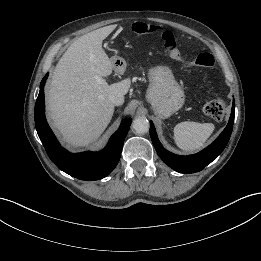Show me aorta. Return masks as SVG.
<instances>
[{
  "label": "aorta",
  "mask_w": 261,
  "mask_h": 261,
  "mask_svg": "<svg viewBox=\"0 0 261 261\" xmlns=\"http://www.w3.org/2000/svg\"><path fill=\"white\" fill-rule=\"evenodd\" d=\"M132 128L137 134L147 133L149 130V122L145 118H137L133 121Z\"/></svg>",
  "instance_id": "aorta-1"
}]
</instances>
